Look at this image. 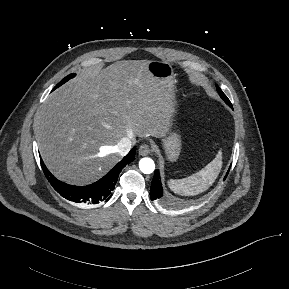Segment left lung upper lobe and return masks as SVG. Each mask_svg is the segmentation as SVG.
<instances>
[{
    "mask_svg": "<svg viewBox=\"0 0 289 289\" xmlns=\"http://www.w3.org/2000/svg\"><path fill=\"white\" fill-rule=\"evenodd\" d=\"M216 88H217V91H218L219 95L221 96V98H222L223 100L228 99V98L226 97V95L222 92V90L219 88L218 85H216Z\"/></svg>",
    "mask_w": 289,
    "mask_h": 289,
    "instance_id": "left-lung-upper-lobe-1",
    "label": "left lung upper lobe"
}]
</instances>
